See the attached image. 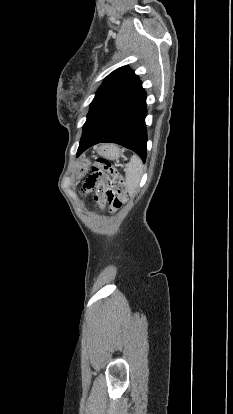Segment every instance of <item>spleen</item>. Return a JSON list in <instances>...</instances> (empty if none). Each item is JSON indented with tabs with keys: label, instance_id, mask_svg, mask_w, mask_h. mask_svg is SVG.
<instances>
[{
	"label": "spleen",
	"instance_id": "spleen-1",
	"mask_svg": "<svg viewBox=\"0 0 233 414\" xmlns=\"http://www.w3.org/2000/svg\"><path fill=\"white\" fill-rule=\"evenodd\" d=\"M143 171L144 166L141 159L137 155H133L125 168L126 185L129 195L133 196L136 193Z\"/></svg>",
	"mask_w": 233,
	"mask_h": 414
}]
</instances>
